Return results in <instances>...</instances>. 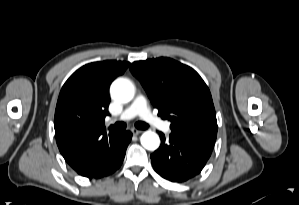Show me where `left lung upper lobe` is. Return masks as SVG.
I'll return each instance as SVG.
<instances>
[{
  "label": "left lung upper lobe",
  "instance_id": "obj_1",
  "mask_svg": "<svg viewBox=\"0 0 299 205\" xmlns=\"http://www.w3.org/2000/svg\"><path fill=\"white\" fill-rule=\"evenodd\" d=\"M171 130L217 133L211 93L191 67L170 58L137 61L130 68Z\"/></svg>",
  "mask_w": 299,
  "mask_h": 205
}]
</instances>
